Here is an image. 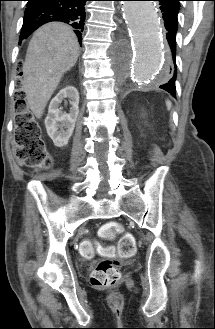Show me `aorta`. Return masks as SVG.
<instances>
[{
    "mask_svg": "<svg viewBox=\"0 0 215 329\" xmlns=\"http://www.w3.org/2000/svg\"><path fill=\"white\" fill-rule=\"evenodd\" d=\"M122 11L135 48V78L141 85L154 84L164 77V43L156 5L152 1H123Z\"/></svg>",
    "mask_w": 215,
    "mask_h": 329,
    "instance_id": "obj_1",
    "label": "aorta"
}]
</instances>
